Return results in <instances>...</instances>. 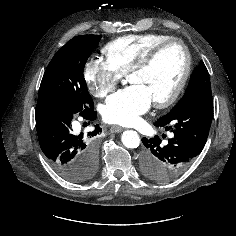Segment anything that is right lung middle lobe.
I'll return each mask as SVG.
<instances>
[{"instance_id":"dd1d6c3e","label":"right lung middle lobe","mask_w":236,"mask_h":236,"mask_svg":"<svg viewBox=\"0 0 236 236\" xmlns=\"http://www.w3.org/2000/svg\"><path fill=\"white\" fill-rule=\"evenodd\" d=\"M101 36L80 35L68 41L54 55L42 78L38 103H52L81 111L93 106V100L87 91L83 69ZM97 167L94 157L82 167L79 181L93 176Z\"/></svg>"}]
</instances>
